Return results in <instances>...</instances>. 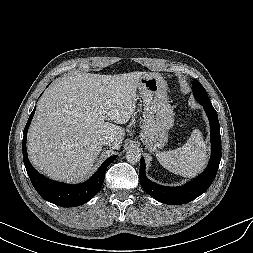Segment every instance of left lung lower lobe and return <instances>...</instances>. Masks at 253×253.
Segmentation results:
<instances>
[{
    "label": "left lung lower lobe",
    "mask_w": 253,
    "mask_h": 253,
    "mask_svg": "<svg viewBox=\"0 0 253 253\" xmlns=\"http://www.w3.org/2000/svg\"><path fill=\"white\" fill-rule=\"evenodd\" d=\"M203 105L208 116L211 132V158L206 170L197 178L181 187H165L150 181L145 175L144 159L140 160V183L154 199L169 205L188 203L203 194L212 184L221 160V136L217 112L212 104Z\"/></svg>",
    "instance_id": "obj_1"
}]
</instances>
